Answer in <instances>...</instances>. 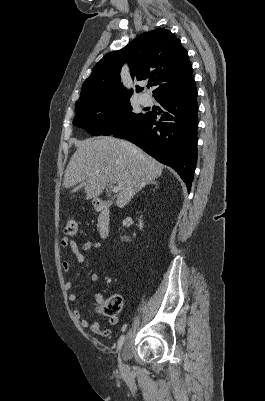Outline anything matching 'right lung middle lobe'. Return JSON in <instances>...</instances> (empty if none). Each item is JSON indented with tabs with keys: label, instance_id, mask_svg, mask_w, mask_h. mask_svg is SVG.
Returning a JSON list of instances; mask_svg holds the SVG:
<instances>
[{
	"label": "right lung middle lobe",
	"instance_id": "1",
	"mask_svg": "<svg viewBox=\"0 0 265 401\" xmlns=\"http://www.w3.org/2000/svg\"><path fill=\"white\" fill-rule=\"evenodd\" d=\"M73 124L92 135H113L145 117L132 112L129 97L105 95L76 105Z\"/></svg>",
	"mask_w": 265,
	"mask_h": 401
}]
</instances>
